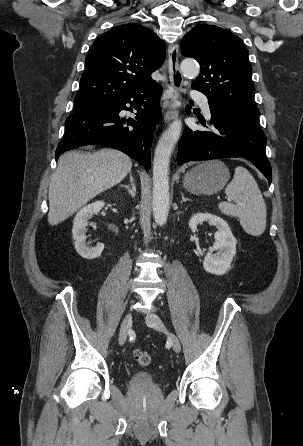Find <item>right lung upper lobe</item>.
<instances>
[{
	"instance_id": "right-lung-upper-lobe-1",
	"label": "right lung upper lobe",
	"mask_w": 303,
	"mask_h": 446,
	"mask_svg": "<svg viewBox=\"0 0 303 446\" xmlns=\"http://www.w3.org/2000/svg\"><path fill=\"white\" fill-rule=\"evenodd\" d=\"M164 58L165 44L150 29L136 23L115 27L93 43L75 98L92 106L153 87L151 73Z\"/></svg>"
}]
</instances>
